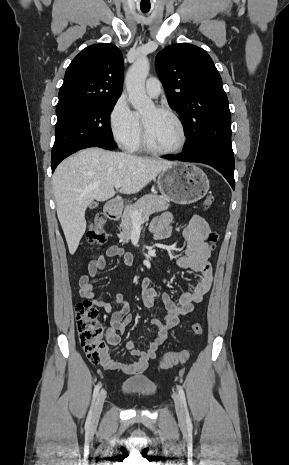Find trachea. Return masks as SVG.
Instances as JSON below:
<instances>
[{
  "label": "trachea",
  "mask_w": 289,
  "mask_h": 465,
  "mask_svg": "<svg viewBox=\"0 0 289 465\" xmlns=\"http://www.w3.org/2000/svg\"><path fill=\"white\" fill-rule=\"evenodd\" d=\"M149 10H142L143 13H147Z\"/></svg>",
  "instance_id": "3493384b"
}]
</instances>
